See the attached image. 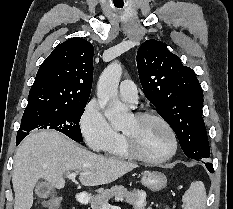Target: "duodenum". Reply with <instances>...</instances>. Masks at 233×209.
<instances>
[{
  "label": "duodenum",
  "mask_w": 233,
  "mask_h": 209,
  "mask_svg": "<svg viewBox=\"0 0 233 209\" xmlns=\"http://www.w3.org/2000/svg\"><path fill=\"white\" fill-rule=\"evenodd\" d=\"M76 200L79 204L84 205L88 202V198L84 193H78L76 195Z\"/></svg>",
  "instance_id": "1"
}]
</instances>
